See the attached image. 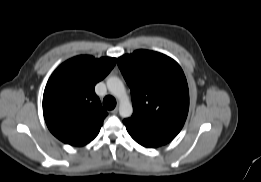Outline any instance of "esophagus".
<instances>
[{
	"mask_svg": "<svg viewBox=\"0 0 261 182\" xmlns=\"http://www.w3.org/2000/svg\"><path fill=\"white\" fill-rule=\"evenodd\" d=\"M111 113H112L113 115H116V114L118 113V108H114V109L111 111Z\"/></svg>",
	"mask_w": 261,
	"mask_h": 182,
	"instance_id": "34e87169",
	"label": "esophagus"
}]
</instances>
